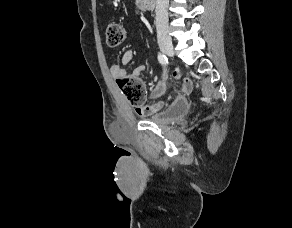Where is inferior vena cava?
<instances>
[{
  "label": "inferior vena cava",
  "mask_w": 292,
  "mask_h": 228,
  "mask_svg": "<svg viewBox=\"0 0 292 228\" xmlns=\"http://www.w3.org/2000/svg\"><path fill=\"white\" fill-rule=\"evenodd\" d=\"M168 5L169 0H156V29L158 42L168 41Z\"/></svg>",
  "instance_id": "602c4592"
}]
</instances>
